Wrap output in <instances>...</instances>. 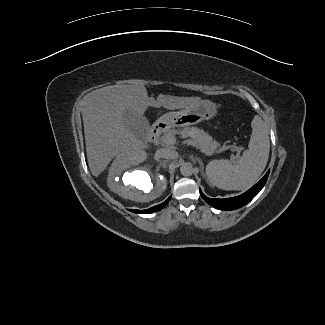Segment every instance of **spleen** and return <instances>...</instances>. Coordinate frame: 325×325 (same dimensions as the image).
<instances>
[{
    "label": "spleen",
    "mask_w": 325,
    "mask_h": 325,
    "mask_svg": "<svg viewBox=\"0 0 325 325\" xmlns=\"http://www.w3.org/2000/svg\"><path fill=\"white\" fill-rule=\"evenodd\" d=\"M252 134L248 149L239 161L213 160L206 166L208 182L224 190H243L252 186L266 167L270 141L268 128L260 116L251 122Z\"/></svg>",
    "instance_id": "3e777b00"
}]
</instances>
